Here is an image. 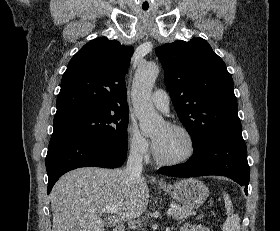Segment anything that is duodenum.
Masks as SVG:
<instances>
[{"label":"duodenum","mask_w":280,"mask_h":231,"mask_svg":"<svg viewBox=\"0 0 280 231\" xmlns=\"http://www.w3.org/2000/svg\"><path fill=\"white\" fill-rule=\"evenodd\" d=\"M115 231H126V229L123 228V227H117V228L115 229Z\"/></svg>","instance_id":"duodenum-1"}]
</instances>
